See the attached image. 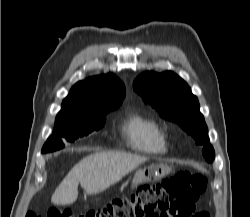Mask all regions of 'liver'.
<instances>
[{"label": "liver", "mask_w": 250, "mask_h": 217, "mask_svg": "<svg viewBox=\"0 0 250 217\" xmlns=\"http://www.w3.org/2000/svg\"><path fill=\"white\" fill-rule=\"evenodd\" d=\"M146 160L145 157L120 152H96L86 156L65 176L53 193L51 202L55 205L74 203L79 183L89 195L100 193Z\"/></svg>", "instance_id": "liver-1"}]
</instances>
